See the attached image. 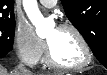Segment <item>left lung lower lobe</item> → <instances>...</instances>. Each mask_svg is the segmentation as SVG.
<instances>
[{
  "instance_id": "left-lung-lower-lobe-1",
  "label": "left lung lower lobe",
  "mask_w": 107,
  "mask_h": 75,
  "mask_svg": "<svg viewBox=\"0 0 107 75\" xmlns=\"http://www.w3.org/2000/svg\"><path fill=\"white\" fill-rule=\"evenodd\" d=\"M107 51L104 48H100L98 52L95 54L96 58L104 65L106 64L105 55Z\"/></svg>"
}]
</instances>
